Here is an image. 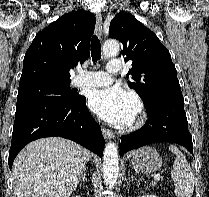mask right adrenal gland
Instances as JSON below:
<instances>
[{
  "mask_svg": "<svg viewBox=\"0 0 209 197\" xmlns=\"http://www.w3.org/2000/svg\"><path fill=\"white\" fill-rule=\"evenodd\" d=\"M85 180H86V170L83 171L80 181L85 182Z\"/></svg>",
  "mask_w": 209,
  "mask_h": 197,
  "instance_id": "obj_1",
  "label": "right adrenal gland"
}]
</instances>
